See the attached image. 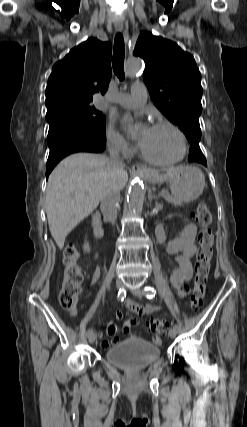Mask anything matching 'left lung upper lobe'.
Masks as SVG:
<instances>
[{
	"instance_id": "5c2ea615",
	"label": "left lung upper lobe",
	"mask_w": 247,
	"mask_h": 427,
	"mask_svg": "<svg viewBox=\"0 0 247 427\" xmlns=\"http://www.w3.org/2000/svg\"><path fill=\"white\" fill-rule=\"evenodd\" d=\"M133 54L145 61L143 80L157 108L199 146L201 74L193 56L176 43L143 32Z\"/></svg>"
}]
</instances>
